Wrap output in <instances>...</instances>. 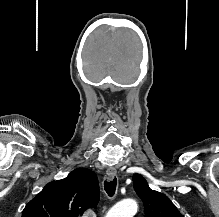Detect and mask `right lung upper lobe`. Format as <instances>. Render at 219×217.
I'll return each mask as SVG.
<instances>
[{
  "mask_svg": "<svg viewBox=\"0 0 219 217\" xmlns=\"http://www.w3.org/2000/svg\"><path fill=\"white\" fill-rule=\"evenodd\" d=\"M99 201L96 174L79 168L66 178L48 183L24 208L22 217H80Z\"/></svg>",
  "mask_w": 219,
  "mask_h": 217,
  "instance_id": "1",
  "label": "right lung upper lobe"
}]
</instances>
